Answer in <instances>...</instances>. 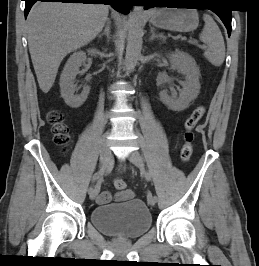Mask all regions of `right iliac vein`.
<instances>
[{
  "label": "right iliac vein",
  "instance_id": "63e3f726",
  "mask_svg": "<svg viewBox=\"0 0 259 266\" xmlns=\"http://www.w3.org/2000/svg\"><path fill=\"white\" fill-rule=\"evenodd\" d=\"M106 141L107 140L105 139L100 151V168L102 171L105 169L111 158V152L109 150ZM97 195H98V189L95 186L92 188V191L89 192V197L91 200H94L97 197Z\"/></svg>",
  "mask_w": 259,
  "mask_h": 266
}]
</instances>
